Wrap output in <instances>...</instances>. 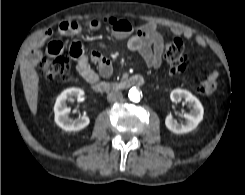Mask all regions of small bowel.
<instances>
[{"mask_svg":"<svg viewBox=\"0 0 245 195\" xmlns=\"http://www.w3.org/2000/svg\"><path fill=\"white\" fill-rule=\"evenodd\" d=\"M92 30L100 28L102 25L108 27L116 38L123 39L129 36L127 46L130 50L138 52L144 63L149 68H159L163 61V37L159 31L160 27L153 22H148L140 26H134L127 20L114 17L100 20H90L87 23ZM60 33L64 35H78L82 33L83 28L72 21H65L59 25ZM169 31L182 36L187 40H193L201 48L207 47V41L204 37L196 34L192 30L182 29L180 27H171ZM52 35L50 30L45 31L37 38L29 52V61L36 64L41 58V49L48 42ZM63 45L59 41H50L47 44V52L56 56L62 53ZM69 52L76 61V69L79 75L89 83L95 82L99 76L109 77L112 74L113 67L111 62L98 52L90 55L86 54L80 41L75 40L70 44ZM92 66L97 68V72ZM219 73L215 69L209 76L202 81L197 90L199 93L209 95L215 91L218 85Z\"/></svg>","mask_w":245,"mask_h":195,"instance_id":"c3829d8e","label":"small bowel"}]
</instances>
